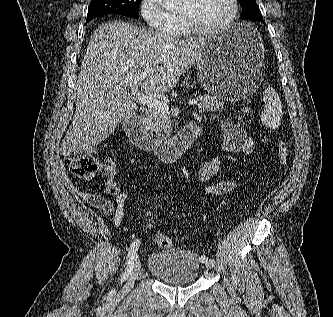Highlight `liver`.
<instances>
[{
    "instance_id": "obj_1",
    "label": "liver",
    "mask_w": 333,
    "mask_h": 317,
    "mask_svg": "<svg viewBox=\"0 0 333 317\" xmlns=\"http://www.w3.org/2000/svg\"><path fill=\"white\" fill-rule=\"evenodd\" d=\"M207 39H180L124 21L99 26L75 84L76 111L61 154L91 151L133 117L137 105L127 97L128 87H141L149 95L170 91L197 62Z\"/></svg>"
}]
</instances>
